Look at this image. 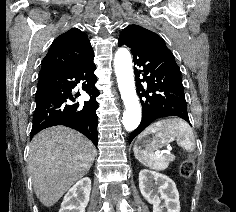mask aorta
I'll use <instances>...</instances> for the list:
<instances>
[{
    "mask_svg": "<svg viewBox=\"0 0 236 212\" xmlns=\"http://www.w3.org/2000/svg\"><path fill=\"white\" fill-rule=\"evenodd\" d=\"M114 67L125 106L122 123L127 131H133L141 121V106L135 90L131 55L126 48H119L115 53Z\"/></svg>",
    "mask_w": 236,
    "mask_h": 212,
    "instance_id": "obj_1",
    "label": "aorta"
}]
</instances>
